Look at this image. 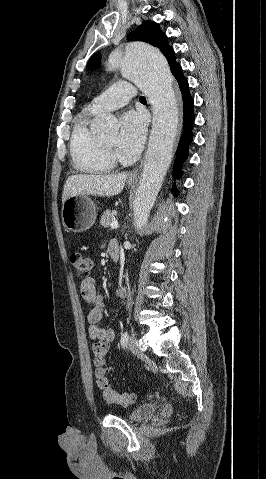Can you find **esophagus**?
Masks as SVG:
<instances>
[{"mask_svg": "<svg viewBox=\"0 0 266 479\" xmlns=\"http://www.w3.org/2000/svg\"><path fill=\"white\" fill-rule=\"evenodd\" d=\"M138 170H139L138 167H136L135 169H133V170L129 173L128 177L131 178V179L137 178Z\"/></svg>", "mask_w": 266, "mask_h": 479, "instance_id": "esophagus-1", "label": "esophagus"}]
</instances>
